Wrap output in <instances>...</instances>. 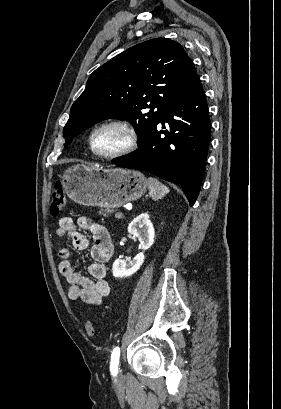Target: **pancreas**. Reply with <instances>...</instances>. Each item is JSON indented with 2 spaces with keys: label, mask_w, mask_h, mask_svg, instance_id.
<instances>
[{
  "label": "pancreas",
  "mask_w": 281,
  "mask_h": 409,
  "mask_svg": "<svg viewBox=\"0 0 281 409\" xmlns=\"http://www.w3.org/2000/svg\"><path fill=\"white\" fill-rule=\"evenodd\" d=\"M107 213H113V211H111V209H105V211H103L104 217H107ZM116 219H117V217H116Z\"/></svg>",
  "instance_id": "obj_1"
}]
</instances>
